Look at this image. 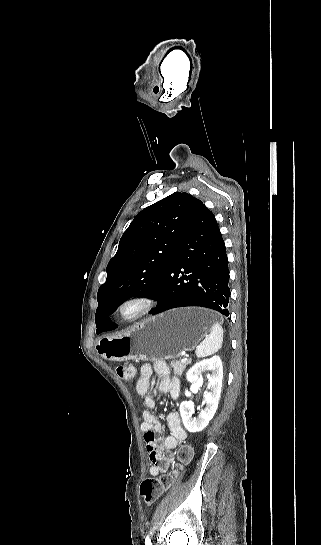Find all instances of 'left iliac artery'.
<instances>
[{
	"label": "left iliac artery",
	"instance_id": "left-iliac-artery-1",
	"mask_svg": "<svg viewBox=\"0 0 321 545\" xmlns=\"http://www.w3.org/2000/svg\"><path fill=\"white\" fill-rule=\"evenodd\" d=\"M145 545H152L149 536H147L146 539H145Z\"/></svg>",
	"mask_w": 321,
	"mask_h": 545
}]
</instances>
